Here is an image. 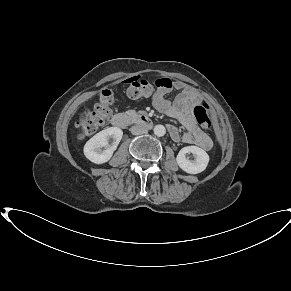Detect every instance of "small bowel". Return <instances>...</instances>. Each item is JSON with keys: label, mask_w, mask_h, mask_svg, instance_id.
Wrapping results in <instances>:
<instances>
[{"label": "small bowel", "mask_w": 291, "mask_h": 291, "mask_svg": "<svg viewBox=\"0 0 291 291\" xmlns=\"http://www.w3.org/2000/svg\"><path fill=\"white\" fill-rule=\"evenodd\" d=\"M159 80H168L170 86L156 89L152 97L154 107L158 111L176 118L184 128V132L181 134L178 127L169 125L168 130L171 138L174 141L182 140L185 143L196 145L203 150H210L212 147L210 137L197 126L192 115L188 111L190 105L196 100L194 91L182 81L172 82L168 78H161ZM172 89L179 90L180 93L171 101L166 98V95Z\"/></svg>", "instance_id": "small-bowel-1"}]
</instances>
